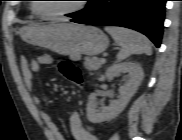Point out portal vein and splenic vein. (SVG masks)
Wrapping results in <instances>:
<instances>
[{
  "instance_id": "18ae733b",
  "label": "portal vein and splenic vein",
  "mask_w": 182,
  "mask_h": 140,
  "mask_svg": "<svg viewBox=\"0 0 182 140\" xmlns=\"http://www.w3.org/2000/svg\"><path fill=\"white\" fill-rule=\"evenodd\" d=\"M101 61L104 63L106 60H105V58H101Z\"/></svg>"
}]
</instances>
